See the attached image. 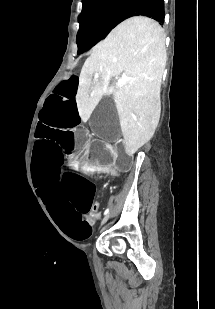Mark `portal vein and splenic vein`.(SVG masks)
<instances>
[{"mask_svg": "<svg viewBox=\"0 0 215 309\" xmlns=\"http://www.w3.org/2000/svg\"><path fill=\"white\" fill-rule=\"evenodd\" d=\"M96 74H99V72H96ZM126 80H127L126 76H122V78H118L117 86H123V84H125Z\"/></svg>", "mask_w": 215, "mask_h": 309, "instance_id": "portal-vein-and-splenic-vein-1", "label": "portal vein and splenic vein"}]
</instances>
